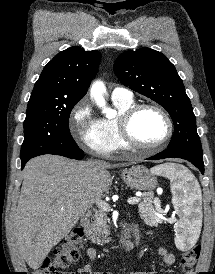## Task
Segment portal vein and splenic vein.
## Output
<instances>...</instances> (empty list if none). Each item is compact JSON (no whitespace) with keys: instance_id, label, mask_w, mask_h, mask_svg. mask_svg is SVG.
Listing matches in <instances>:
<instances>
[{"instance_id":"1","label":"portal vein and splenic vein","mask_w":215,"mask_h":274,"mask_svg":"<svg viewBox=\"0 0 215 274\" xmlns=\"http://www.w3.org/2000/svg\"><path fill=\"white\" fill-rule=\"evenodd\" d=\"M139 202H140V198L138 197H131L128 199V203L131 205L137 204ZM96 205L103 211H109L110 209L109 204L101 199L96 202Z\"/></svg>"}]
</instances>
